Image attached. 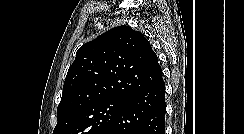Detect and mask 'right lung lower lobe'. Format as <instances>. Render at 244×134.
Here are the masks:
<instances>
[{
    "label": "right lung lower lobe",
    "instance_id": "98d812e1",
    "mask_svg": "<svg viewBox=\"0 0 244 134\" xmlns=\"http://www.w3.org/2000/svg\"><path fill=\"white\" fill-rule=\"evenodd\" d=\"M165 83L132 95L102 134H165Z\"/></svg>",
    "mask_w": 244,
    "mask_h": 134
}]
</instances>
